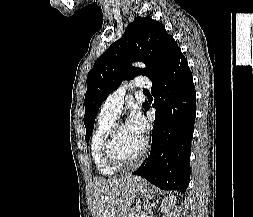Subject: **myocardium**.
I'll use <instances>...</instances> for the list:
<instances>
[{
	"label": "myocardium",
	"instance_id": "1",
	"mask_svg": "<svg viewBox=\"0 0 253 217\" xmlns=\"http://www.w3.org/2000/svg\"><path fill=\"white\" fill-rule=\"evenodd\" d=\"M121 125H123L122 122L115 121L108 130L102 144V154L105 161L111 166L117 168L134 166L141 160L147 148V143L144 141L140 151L134 158H132L131 160L121 159L114 150V141L117 135V131Z\"/></svg>",
	"mask_w": 253,
	"mask_h": 217
}]
</instances>
